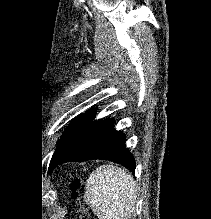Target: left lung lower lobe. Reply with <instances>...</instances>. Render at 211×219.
Wrapping results in <instances>:
<instances>
[{
	"mask_svg": "<svg viewBox=\"0 0 211 219\" xmlns=\"http://www.w3.org/2000/svg\"><path fill=\"white\" fill-rule=\"evenodd\" d=\"M95 109L80 117L57 146L49 170L65 162L111 160L135 170V159L125 146V134L116 131L111 119L92 121Z\"/></svg>",
	"mask_w": 211,
	"mask_h": 219,
	"instance_id": "obj_1",
	"label": "left lung lower lobe"
}]
</instances>
